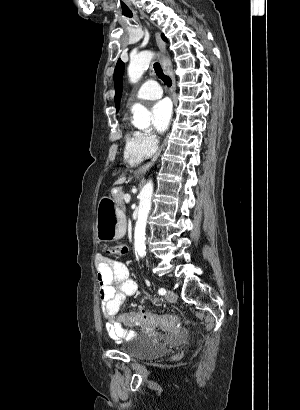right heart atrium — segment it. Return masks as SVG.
I'll return each mask as SVG.
<instances>
[{
    "instance_id": "d8ad5b80",
    "label": "right heart atrium",
    "mask_w": 300,
    "mask_h": 410,
    "mask_svg": "<svg viewBox=\"0 0 300 410\" xmlns=\"http://www.w3.org/2000/svg\"><path fill=\"white\" fill-rule=\"evenodd\" d=\"M137 141L140 150L148 156L152 155L158 147V140L151 133L137 132Z\"/></svg>"
}]
</instances>
